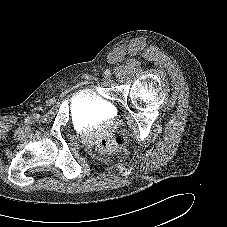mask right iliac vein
I'll return each mask as SVG.
<instances>
[{"instance_id":"1","label":"right iliac vein","mask_w":227,"mask_h":227,"mask_svg":"<svg viewBox=\"0 0 227 227\" xmlns=\"http://www.w3.org/2000/svg\"><path fill=\"white\" fill-rule=\"evenodd\" d=\"M34 117H35V118H39V115H38V114H35Z\"/></svg>"}]
</instances>
